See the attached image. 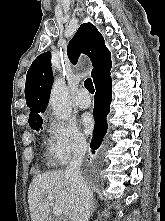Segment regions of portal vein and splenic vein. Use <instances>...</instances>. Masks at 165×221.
<instances>
[{
    "instance_id": "1",
    "label": "portal vein and splenic vein",
    "mask_w": 165,
    "mask_h": 221,
    "mask_svg": "<svg viewBox=\"0 0 165 221\" xmlns=\"http://www.w3.org/2000/svg\"><path fill=\"white\" fill-rule=\"evenodd\" d=\"M48 199L50 201H53V197L52 196H48ZM53 213L56 215V216H61L63 214V209L61 207H58V206H55L53 208Z\"/></svg>"
}]
</instances>
